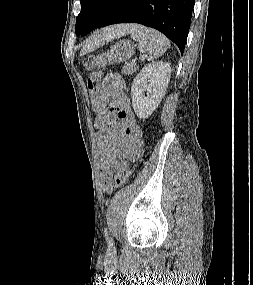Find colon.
<instances>
[{
	"mask_svg": "<svg viewBox=\"0 0 253 285\" xmlns=\"http://www.w3.org/2000/svg\"><path fill=\"white\" fill-rule=\"evenodd\" d=\"M102 71L95 69L92 76L88 79L87 87L91 96H96L100 91ZM131 175V169L127 165H122L114 178L115 187H122Z\"/></svg>",
	"mask_w": 253,
	"mask_h": 285,
	"instance_id": "colon-1",
	"label": "colon"
}]
</instances>
